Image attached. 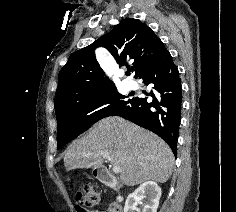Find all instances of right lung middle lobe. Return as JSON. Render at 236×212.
<instances>
[{
    "mask_svg": "<svg viewBox=\"0 0 236 212\" xmlns=\"http://www.w3.org/2000/svg\"><path fill=\"white\" fill-rule=\"evenodd\" d=\"M133 99H126L116 89L80 98L56 111L57 148L60 149L78 135L85 132L100 119L113 115L118 109L128 105ZM107 105L101 110L99 107Z\"/></svg>",
    "mask_w": 236,
    "mask_h": 212,
    "instance_id": "right-lung-middle-lobe-1",
    "label": "right lung middle lobe"
}]
</instances>
